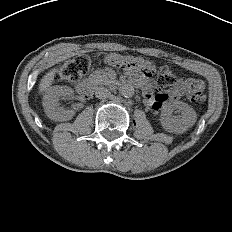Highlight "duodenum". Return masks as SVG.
I'll return each mask as SVG.
<instances>
[{
  "label": "duodenum",
  "mask_w": 232,
  "mask_h": 232,
  "mask_svg": "<svg viewBox=\"0 0 232 232\" xmlns=\"http://www.w3.org/2000/svg\"><path fill=\"white\" fill-rule=\"evenodd\" d=\"M77 89L84 95L90 96L93 93V85L89 80H83L77 84Z\"/></svg>",
  "instance_id": "1"
}]
</instances>
